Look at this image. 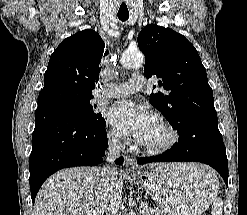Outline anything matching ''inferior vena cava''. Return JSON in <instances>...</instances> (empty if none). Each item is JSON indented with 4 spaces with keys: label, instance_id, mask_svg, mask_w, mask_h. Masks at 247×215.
Segmentation results:
<instances>
[{
    "label": "inferior vena cava",
    "instance_id": "inferior-vena-cava-1",
    "mask_svg": "<svg viewBox=\"0 0 247 215\" xmlns=\"http://www.w3.org/2000/svg\"><path fill=\"white\" fill-rule=\"evenodd\" d=\"M108 152L106 159L108 160L107 166L102 168V179L106 182L109 183L112 187L118 186L119 184V173L116 170V167L114 166V161L119 158L121 150L123 148L122 143L119 139L117 138H112L109 139L108 142ZM120 202L117 201L115 198L114 200L111 201L109 207H110V213L109 215H115L118 207H119Z\"/></svg>",
    "mask_w": 247,
    "mask_h": 215
}]
</instances>
